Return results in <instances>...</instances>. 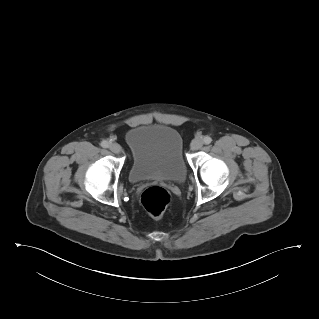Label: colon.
<instances>
[{"label": "colon", "instance_id": "5ec220e1", "mask_svg": "<svg viewBox=\"0 0 319 319\" xmlns=\"http://www.w3.org/2000/svg\"><path fill=\"white\" fill-rule=\"evenodd\" d=\"M170 201V194L161 186L148 187L141 197L143 207L154 218H160L164 214Z\"/></svg>", "mask_w": 319, "mask_h": 319}]
</instances>
